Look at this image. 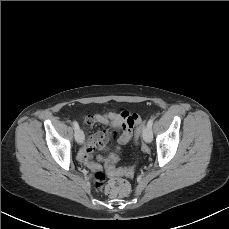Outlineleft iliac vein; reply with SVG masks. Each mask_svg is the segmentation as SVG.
<instances>
[{"label": "left iliac vein", "instance_id": "4c4485c4", "mask_svg": "<svg viewBox=\"0 0 229 229\" xmlns=\"http://www.w3.org/2000/svg\"><path fill=\"white\" fill-rule=\"evenodd\" d=\"M143 139L146 143H151L153 140L152 129L148 125L143 129Z\"/></svg>", "mask_w": 229, "mask_h": 229}]
</instances>
